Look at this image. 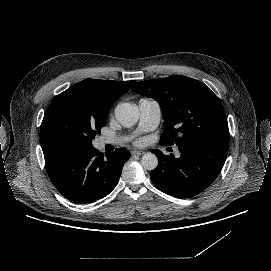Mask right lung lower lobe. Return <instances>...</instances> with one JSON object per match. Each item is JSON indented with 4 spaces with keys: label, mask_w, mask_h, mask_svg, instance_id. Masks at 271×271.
I'll return each mask as SVG.
<instances>
[{
    "label": "right lung lower lobe",
    "mask_w": 271,
    "mask_h": 271,
    "mask_svg": "<svg viewBox=\"0 0 271 271\" xmlns=\"http://www.w3.org/2000/svg\"><path fill=\"white\" fill-rule=\"evenodd\" d=\"M44 158L57 190L75 203H89L115 188L130 152L119 148L105 158L93 146H70L44 152Z\"/></svg>",
    "instance_id": "1"
}]
</instances>
